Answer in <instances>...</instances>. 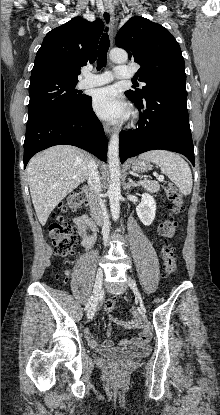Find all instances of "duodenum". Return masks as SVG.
<instances>
[{
  "label": "duodenum",
  "instance_id": "duodenum-1",
  "mask_svg": "<svg viewBox=\"0 0 220 415\" xmlns=\"http://www.w3.org/2000/svg\"><path fill=\"white\" fill-rule=\"evenodd\" d=\"M84 193L87 197L88 200V206H89V211H90V215L92 217V219L95 222H99L102 218V212L100 210V207L98 206V203L94 197V191L90 186H86L84 188Z\"/></svg>",
  "mask_w": 220,
  "mask_h": 415
}]
</instances>
